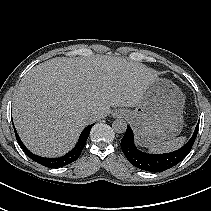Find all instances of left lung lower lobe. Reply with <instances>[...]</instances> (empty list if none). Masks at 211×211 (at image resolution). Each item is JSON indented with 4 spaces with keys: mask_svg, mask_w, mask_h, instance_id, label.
<instances>
[{
    "mask_svg": "<svg viewBox=\"0 0 211 211\" xmlns=\"http://www.w3.org/2000/svg\"><path fill=\"white\" fill-rule=\"evenodd\" d=\"M199 124L190 140L180 149L166 154H148L139 151L134 145L133 131L127 126L126 133L121 140V148L128 161L135 167L149 172L165 171L181 162L191 151L195 142Z\"/></svg>",
    "mask_w": 211,
    "mask_h": 211,
    "instance_id": "1",
    "label": "left lung lower lobe"
}]
</instances>
